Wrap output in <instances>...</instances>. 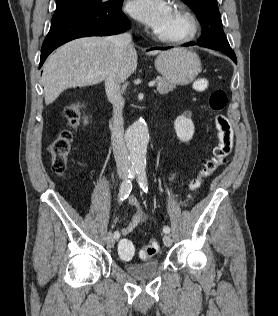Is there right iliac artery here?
Here are the masks:
<instances>
[{
    "label": "right iliac artery",
    "instance_id": "obj_1",
    "mask_svg": "<svg viewBox=\"0 0 278 316\" xmlns=\"http://www.w3.org/2000/svg\"><path fill=\"white\" fill-rule=\"evenodd\" d=\"M137 170L138 169L135 167H130V169L128 170V176L120 185L119 203H121L123 200H125L129 196L132 190V180L137 174ZM113 237L114 239H118L120 237V233L118 231L114 232Z\"/></svg>",
    "mask_w": 278,
    "mask_h": 316
}]
</instances>
